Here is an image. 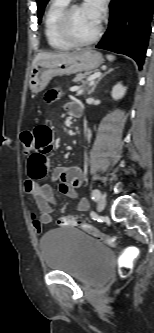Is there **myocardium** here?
Returning a JSON list of instances; mask_svg holds the SVG:
<instances>
[{
    "label": "myocardium",
    "instance_id": "obj_1",
    "mask_svg": "<svg viewBox=\"0 0 154 333\" xmlns=\"http://www.w3.org/2000/svg\"><path fill=\"white\" fill-rule=\"evenodd\" d=\"M81 4L78 2L69 3L61 12L58 20V31L60 35L73 46H87L95 43L99 40L103 32L102 22H99L96 33L89 39L78 38L71 29V14L74 9L80 7Z\"/></svg>",
    "mask_w": 154,
    "mask_h": 333
}]
</instances>
